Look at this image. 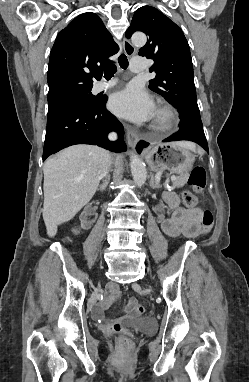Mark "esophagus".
Instances as JSON below:
<instances>
[{
  "label": "esophagus",
  "instance_id": "esophagus-1",
  "mask_svg": "<svg viewBox=\"0 0 249 382\" xmlns=\"http://www.w3.org/2000/svg\"><path fill=\"white\" fill-rule=\"evenodd\" d=\"M123 50L127 56H132L135 53L136 49L129 40L124 39ZM127 139H128L129 145L132 148H135L138 142V136L131 128H127Z\"/></svg>",
  "mask_w": 249,
  "mask_h": 382
}]
</instances>
